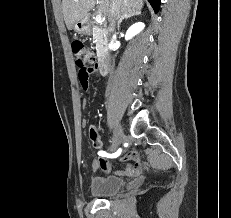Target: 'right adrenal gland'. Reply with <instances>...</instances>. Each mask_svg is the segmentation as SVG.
I'll use <instances>...</instances> for the list:
<instances>
[{"mask_svg": "<svg viewBox=\"0 0 231 218\" xmlns=\"http://www.w3.org/2000/svg\"><path fill=\"white\" fill-rule=\"evenodd\" d=\"M135 15H140V12H137L135 14H129V15H125L124 17H122L119 22H118V27H120V24L123 22V20H127L129 19L130 17L132 16H135Z\"/></svg>", "mask_w": 231, "mask_h": 218, "instance_id": "1", "label": "right adrenal gland"}]
</instances>
